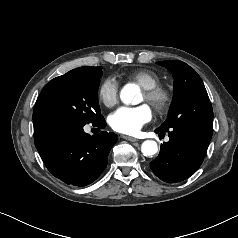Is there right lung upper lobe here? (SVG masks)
<instances>
[{
	"mask_svg": "<svg viewBox=\"0 0 238 238\" xmlns=\"http://www.w3.org/2000/svg\"><path fill=\"white\" fill-rule=\"evenodd\" d=\"M41 110H42V102H41V98L38 97L35 108H34V112H33L34 123L47 122L46 119L40 115Z\"/></svg>",
	"mask_w": 238,
	"mask_h": 238,
	"instance_id": "obj_1",
	"label": "right lung upper lobe"
}]
</instances>
